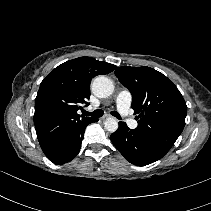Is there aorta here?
<instances>
[{"label":"aorta","mask_w":211,"mask_h":211,"mask_svg":"<svg viewBox=\"0 0 211 211\" xmlns=\"http://www.w3.org/2000/svg\"><path fill=\"white\" fill-rule=\"evenodd\" d=\"M92 91L99 98H107L114 91L113 82L105 76H98L92 82ZM107 131L113 133L118 129V122L115 118H107L104 122Z\"/></svg>","instance_id":"762f6f07"}]
</instances>
